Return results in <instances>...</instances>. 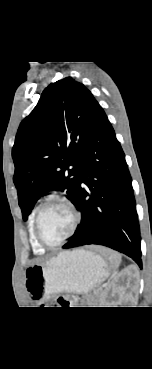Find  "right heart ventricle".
I'll return each mask as SVG.
<instances>
[{"label":"right heart ventricle","mask_w":152,"mask_h":369,"mask_svg":"<svg viewBox=\"0 0 152 369\" xmlns=\"http://www.w3.org/2000/svg\"><path fill=\"white\" fill-rule=\"evenodd\" d=\"M28 230H29V238L33 250L36 253H43L45 249L37 242L35 235H34V213L31 214L29 223H28Z\"/></svg>","instance_id":"right-heart-ventricle-1"}]
</instances>
